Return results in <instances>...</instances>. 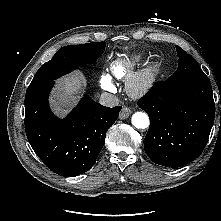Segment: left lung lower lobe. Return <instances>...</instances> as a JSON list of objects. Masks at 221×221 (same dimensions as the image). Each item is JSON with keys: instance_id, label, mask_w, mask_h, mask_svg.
<instances>
[{"instance_id": "left-lung-lower-lobe-1", "label": "left lung lower lobe", "mask_w": 221, "mask_h": 221, "mask_svg": "<svg viewBox=\"0 0 221 221\" xmlns=\"http://www.w3.org/2000/svg\"><path fill=\"white\" fill-rule=\"evenodd\" d=\"M138 106L150 118L144 149L155 164L175 169L201 154L215 117L210 81H159Z\"/></svg>"}]
</instances>
